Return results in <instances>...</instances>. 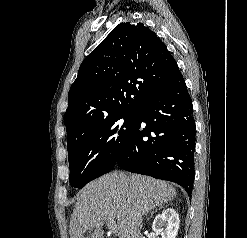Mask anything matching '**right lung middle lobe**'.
<instances>
[{
    "instance_id": "1",
    "label": "right lung middle lobe",
    "mask_w": 247,
    "mask_h": 238,
    "mask_svg": "<svg viewBox=\"0 0 247 238\" xmlns=\"http://www.w3.org/2000/svg\"><path fill=\"white\" fill-rule=\"evenodd\" d=\"M136 119V113L113 117L87 129L67 146L71 186L82 188L114 168Z\"/></svg>"
}]
</instances>
